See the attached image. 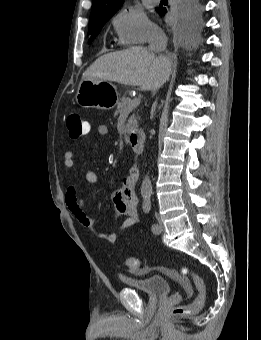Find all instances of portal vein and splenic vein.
Wrapping results in <instances>:
<instances>
[{
  "instance_id": "portal-vein-and-splenic-vein-1",
  "label": "portal vein and splenic vein",
  "mask_w": 261,
  "mask_h": 340,
  "mask_svg": "<svg viewBox=\"0 0 261 340\" xmlns=\"http://www.w3.org/2000/svg\"><path fill=\"white\" fill-rule=\"evenodd\" d=\"M141 98H142L141 96L134 97L129 103V109L136 108L140 104Z\"/></svg>"
}]
</instances>
